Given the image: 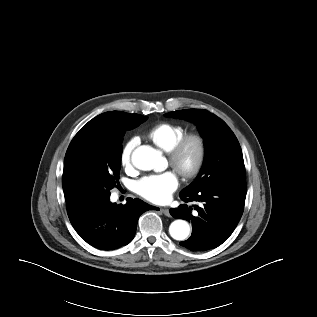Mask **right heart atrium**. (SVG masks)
Returning <instances> with one entry per match:
<instances>
[{
    "instance_id": "1",
    "label": "right heart atrium",
    "mask_w": 317,
    "mask_h": 317,
    "mask_svg": "<svg viewBox=\"0 0 317 317\" xmlns=\"http://www.w3.org/2000/svg\"><path fill=\"white\" fill-rule=\"evenodd\" d=\"M137 143V138L131 137L122 147L120 153V163L125 170L132 169V155Z\"/></svg>"
}]
</instances>
